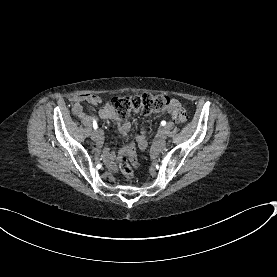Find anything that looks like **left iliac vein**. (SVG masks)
I'll list each match as a JSON object with an SVG mask.
<instances>
[{"mask_svg": "<svg viewBox=\"0 0 277 277\" xmlns=\"http://www.w3.org/2000/svg\"><path fill=\"white\" fill-rule=\"evenodd\" d=\"M160 139L161 140H165L166 139V131L165 130L161 131V133H160Z\"/></svg>", "mask_w": 277, "mask_h": 277, "instance_id": "obj_1", "label": "left iliac vein"}]
</instances>
